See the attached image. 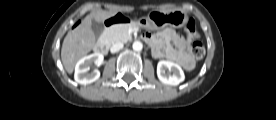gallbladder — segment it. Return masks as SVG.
<instances>
[{"label": "gallbladder", "instance_id": "bac80fb5", "mask_svg": "<svg viewBox=\"0 0 276 120\" xmlns=\"http://www.w3.org/2000/svg\"><path fill=\"white\" fill-rule=\"evenodd\" d=\"M91 29L95 35V37H100L101 34L103 33L104 31V25L101 23V22H96V21H93L92 22V26H91Z\"/></svg>", "mask_w": 276, "mask_h": 120}]
</instances>
